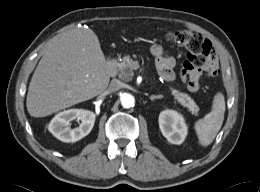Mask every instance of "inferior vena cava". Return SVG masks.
I'll return each instance as SVG.
<instances>
[{
    "label": "inferior vena cava",
    "instance_id": "602c4592",
    "mask_svg": "<svg viewBox=\"0 0 260 192\" xmlns=\"http://www.w3.org/2000/svg\"><path fill=\"white\" fill-rule=\"evenodd\" d=\"M122 82L118 79H113L110 82V85L108 87V89L106 90L107 93H112V92H116L118 90H120L122 88Z\"/></svg>",
    "mask_w": 260,
    "mask_h": 192
}]
</instances>
